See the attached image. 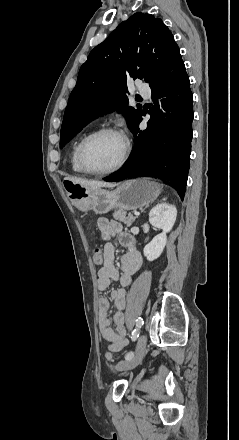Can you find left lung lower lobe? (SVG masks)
<instances>
[{
	"label": "left lung lower lobe",
	"instance_id": "left-lung-lower-lobe-1",
	"mask_svg": "<svg viewBox=\"0 0 239 440\" xmlns=\"http://www.w3.org/2000/svg\"><path fill=\"white\" fill-rule=\"evenodd\" d=\"M149 85L154 105L149 110L151 118L147 129L139 131L141 114L131 129L135 147L127 165L104 180L121 181L143 176L166 179L177 186L183 199L191 152L193 96L177 44L160 74Z\"/></svg>",
	"mask_w": 239,
	"mask_h": 440
}]
</instances>
